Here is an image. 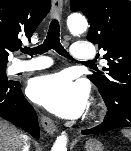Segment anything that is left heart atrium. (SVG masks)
I'll list each match as a JSON object with an SVG mask.
<instances>
[{
	"mask_svg": "<svg viewBox=\"0 0 131 151\" xmlns=\"http://www.w3.org/2000/svg\"><path fill=\"white\" fill-rule=\"evenodd\" d=\"M31 100L52 113L74 118L85 109L88 91L81 82H74L65 73H55L34 78L28 85Z\"/></svg>",
	"mask_w": 131,
	"mask_h": 151,
	"instance_id": "1",
	"label": "left heart atrium"
}]
</instances>
